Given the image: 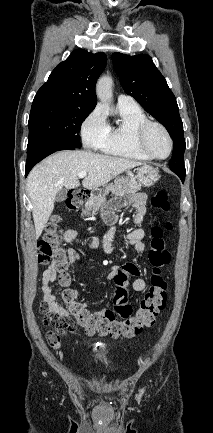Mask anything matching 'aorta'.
<instances>
[{
    "label": "aorta",
    "mask_w": 213,
    "mask_h": 433,
    "mask_svg": "<svg viewBox=\"0 0 213 433\" xmlns=\"http://www.w3.org/2000/svg\"><path fill=\"white\" fill-rule=\"evenodd\" d=\"M96 94L101 102H109L112 98V79L109 76H102L96 85Z\"/></svg>",
    "instance_id": "1"
}]
</instances>
